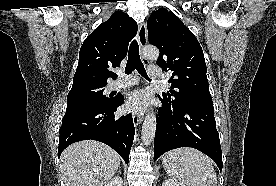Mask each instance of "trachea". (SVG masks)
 <instances>
[{
    "label": "trachea",
    "mask_w": 276,
    "mask_h": 186,
    "mask_svg": "<svg viewBox=\"0 0 276 186\" xmlns=\"http://www.w3.org/2000/svg\"><path fill=\"white\" fill-rule=\"evenodd\" d=\"M134 69H136L139 74H141L144 78L149 79L144 65L140 60L139 46L136 40H133L129 47L128 61L125 68V73L130 74Z\"/></svg>",
    "instance_id": "obj_1"
}]
</instances>
